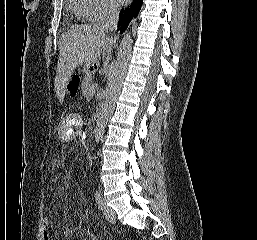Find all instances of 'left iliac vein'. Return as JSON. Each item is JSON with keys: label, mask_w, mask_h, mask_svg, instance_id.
I'll return each instance as SVG.
<instances>
[{"label": "left iliac vein", "mask_w": 257, "mask_h": 240, "mask_svg": "<svg viewBox=\"0 0 257 240\" xmlns=\"http://www.w3.org/2000/svg\"><path fill=\"white\" fill-rule=\"evenodd\" d=\"M102 210H103L105 218L109 222L114 223L116 221V213L111 207H109L105 203H103Z\"/></svg>", "instance_id": "4c4485c4"}]
</instances>
